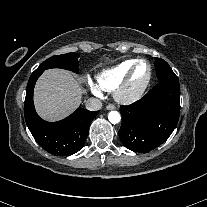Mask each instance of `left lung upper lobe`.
<instances>
[{
    "label": "left lung upper lobe",
    "mask_w": 207,
    "mask_h": 207,
    "mask_svg": "<svg viewBox=\"0 0 207 207\" xmlns=\"http://www.w3.org/2000/svg\"><path fill=\"white\" fill-rule=\"evenodd\" d=\"M154 65L156 67V74L159 81L168 78L177 77L175 73L172 71V69L170 68V66L168 65V63L163 59L155 58Z\"/></svg>",
    "instance_id": "5c2ea615"
}]
</instances>
